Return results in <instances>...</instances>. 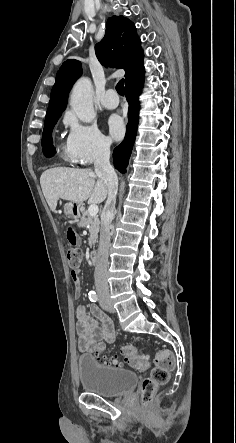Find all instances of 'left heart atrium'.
Instances as JSON below:
<instances>
[{
  "mask_svg": "<svg viewBox=\"0 0 236 443\" xmlns=\"http://www.w3.org/2000/svg\"><path fill=\"white\" fill-rule=\"evenodd\" d=\"M107 128L112 138L119 139L124 133V124L117 115H111L106 121Z\"/></svg>",
  "mask_w": 236,
  "mask_h": 443,
  "instance_id": "39dd6f15",
  "label": "left heart atrium"
}]
</instances>
